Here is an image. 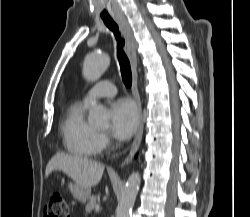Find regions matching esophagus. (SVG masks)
I'll use <instances>...</instances> for the list:
<instances>
[{"mask_svg":"<svg viewBox=\"0 0 250 217\" xmlns=\"http://www.w3.org/2000/svg\"><path fill=\"white\" fill-rule=\"evenodd\" d=\"M116 22L119 25V28L121 30V33L126 39L127 43V55L131 63V69H132V95L135 100L138 113H139V126L138 130L135 136V139L131 145V149L127 157L124 159V161L121 163V167L127 165L133 158L134 154L138 150L142 136H143V129H144V118L142 113V105H141V99L140 94L137 87V51H136V40L133 34V31L128 23V21L125 18H119L116 19Z\"/></svg>","mask_w":250,"mask_h":217,"instance_id":"1","label":"esophagus"}]
</instances>
